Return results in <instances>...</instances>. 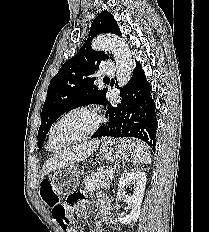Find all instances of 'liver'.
<instances>
[{"mask_svg":"<svg viewBox=\"0 0 209 232\" xmlns=\"http://www.w3.org/2000/svg\"><path fill=\"white\" fill-rule=\"evenodd\" d=\"M99 144V140H93L73 145L67 149H64L63 151L54 155L46 163L42 176L47 175L54 170L61 169L85 160L91 155L92 152L96 150Z\"/></svg>","mask_w":209,"mask_h":232,"instance_id":"1","label":"liver"}]
</instances>
